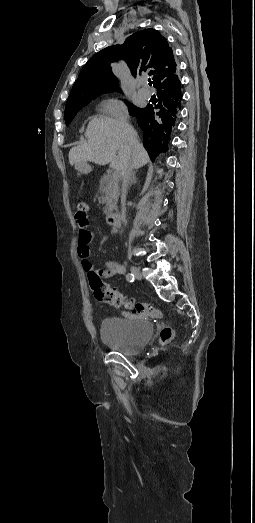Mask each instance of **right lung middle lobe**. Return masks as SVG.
<instances>
[{
	"mask_svg": "<svg viewBox=\"0 0 255 523\" xmlns=\"http://www.w3.org/2000/svg\"><path fill=\"white\" fill-rule=\"evenodd\" d=\"M89 102H82V103H69L65 106V113H64V119L66 125H69L77 112L82 109L85 105H87Z\"/></svg>",
	"mask_w": 255,
	"mask_h": 523,
	"instance_id": "dd1d6c3e",
	"label": "right lung middle lobe"
}]
</instances>
